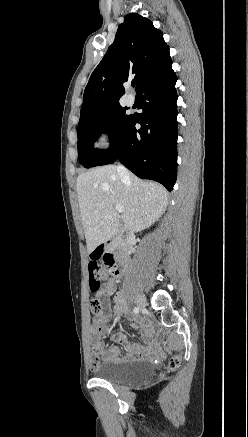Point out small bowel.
Listing matches in <instances>:
<instances>
[{"label": "small bowel", "mask_w": 248, "mask_h": 437, "mask_svg": "<svg viewBox=\"0 0 248 437\" xmlns=\"http://www.w3.org/2000/svg\"><path fill=\"white\" fill-rule=\"evenodd\" d=\"M114 295V302L118 310L126 306V301L123 295L118 292V287L114 280L108 281L105 285H100L99 290L96 292V299H98L107 310L111 307L110 297ZM109 321V314L104 313L97 316L93 322L90 336H91V350L92 356L90 358V366L92 369H96L100 363V355L103 354V358L106 361L125 362L135 359H145L150 357L154 353L153 344L151 342L152 333L150 331L148 323L141 319L137 324L133 326L139 328L145 339L146 344L130 343L123 334L114 333L111 335V339L119 342L126 354H123L118 347H111L105 351L104 343L100 339V335L107 330V322Z\"/></svg>", "instance_id": "1"}]
</instances>
